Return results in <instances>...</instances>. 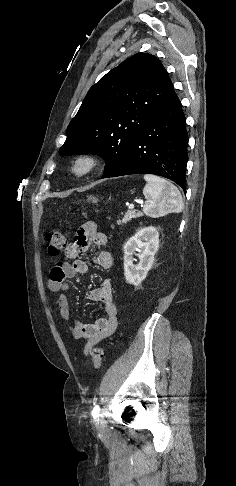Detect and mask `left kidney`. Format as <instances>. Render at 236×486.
I'll use <instances>...</instances> for the list:
<instances>
[{
  "label": "left kidney",
  "instance_id": "1",
  "mask_svg": "<svg viewBox=\"0 0 236 486\" xmlns=\"http://www.w3.org/2000/svg\"><path fill=\"white\" fill-rule=\"evenodd\" d=\"M159 248V234L154 227H144L124 245V276L127 283L138 286L146 278ZM138 251L139 263L133 255Z\"/></svg>",
  "mask_w": 236,
  "mask_h": 486
}]
</instances>
